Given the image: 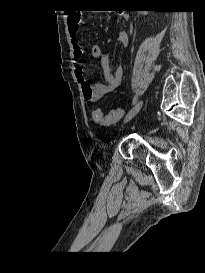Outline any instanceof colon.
I'll return each instance as SVG.
<instances>
[{"mask_svg":"<svg viewBox=\"0 0 205 273\" xmlns=\"http://www.w3.org/2000/svg\"><path fill=\"white\" fill-rule=\"evenodd\" d=\"M77 20L81 22V19L78 16ZM124 114L125 111L122 108L113 109L107 114H104L99 108H94L92 111V119L97 124L107 126L121 120Z\"/></svg>","mask_w":205,"mask_h":273,"instance_id":"colon-1","label":"colon"}]
</instances>
